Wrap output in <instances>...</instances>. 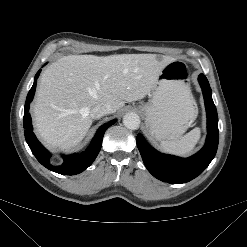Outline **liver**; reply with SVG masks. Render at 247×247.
<instances>
[{"label": "liver", "mask_w": 247, "mask_h": 247, "mask_svg": "<svg viewBox=\"0 0 247 247\" xmlns=\"http://www.w3.org/2000/svg\"><path fill=\"white\" fill-rule=\"evenodd\" d=\"M175 61L156 54L68 55L42 74L33 106L37 134L48 148L70 150L92 125L91 109L114 112L150 93L163 68Z\"/></svg>", "instance_id": "1"}]
</instances>
